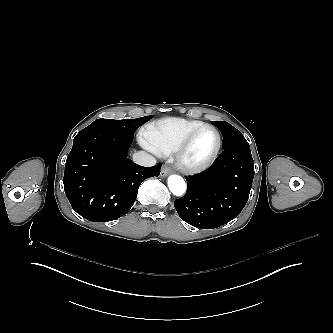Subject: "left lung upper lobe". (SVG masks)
Returning a JSON list of instances; mask_svg holds the SVG:
<instances>
[{"mask_svg": "<svg viewBox=\"0 0 333 333\" xmlns=\"http://www.w3.org/2000/svg\"><path fill=\"white\" fill-rule=\"evenodd\" d=\"M212 124L218 127L223 135V149H226L236 143L246 141L241 132L229 123L223 121H212Z\"/></svg>", "mask_w": 333, "mask_h": 333, "instance_id": "left-lung-upper-lobe-1", "label": "left lung upper lobe"}]
</instances>
